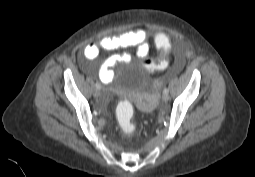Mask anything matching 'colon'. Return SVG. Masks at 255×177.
Wrapping results in <instances>:
<instances>
[{
	"mask_svg": "<svg viewBox=\"0 0 255 177\" xmlns=\"http://www.w3.org/2000/svg\"><path fill=\"white\" fill-rule=\"evenodd\" d=\"M152 43L159 51L157 61L144 58L142 60V66L149 72L164 71L173 57L171 53L172 46L166 31L163 29L156 30L152 38ZM133 116L134 108L132 104L127 100L121 101L116 109V118L119 128L123 133L131 134L135 130Z\"/></svg>",
	"mask_w": 255,
	"mask_h": 177,
	"instance_id": "1",
	"label": "colon"
}]
</instances>
